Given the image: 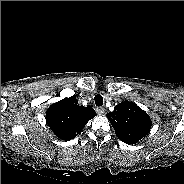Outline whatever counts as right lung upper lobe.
I'll list each match as a JSON object with an SVG mask.
<instances>
[{
  "instance_id": "1",
  "label": "right lung upper lobe",
  "mask_w": 184,
  "mask_h": 184,
  "mask_svg": "<svg viewBox=\"0 0 184 184\" xmlns=\"http://www.w3.org/2000/svg\"><path fill=\"white\" fill-rule=\"evenodd\" d=\"M96 113L90 106L78 105L74 97L52 104L46 112V121L54 134L62 140H71L80 133Z\"/></svg>"
}]
</instances>
